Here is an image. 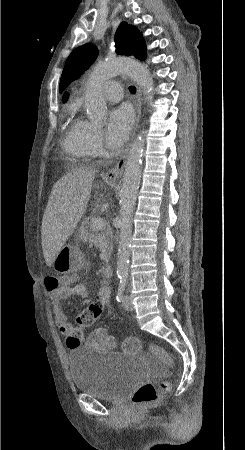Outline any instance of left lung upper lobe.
Returning <instances> with one entry per match:
<instances>
[{"instance_id": "left-lung-upper-lobe-1", "label": "left lung upper lobe", "mask_w": 245, "mask_h": 450, "mask_svg": "<svg viewBox=\"0 0 245 450\" xmlns=\"http://www.w3.org/2000/svg\"><path fill=\"white\" fill-rule=\"evenodd\" d=\"M115 46L117 53L121 55H134L140 60L146 58V47L143 37L135 26H131L126 22L121 23L116 31ZM97 56L98 50L91 44H85L72 51L62 72L59 91L62 92L66 86L87 70Z\"/></svg>"}]
</instances>
